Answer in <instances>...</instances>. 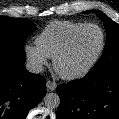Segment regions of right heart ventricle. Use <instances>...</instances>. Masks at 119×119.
<instances>
[{
    "instance_id": "right-heart-ventricle-1",
    "label": "right heart ventricle",
    "mask_w": 119,
    "mask_h": 119,
    "mask_svg": "<svg viewBox=\"0 0 119 119\" xmlns=\"http://www.w3.org/2000/svg\"><path fill=\"white\" fill-rule=\"evenodd\" d=\"M83 25L85 23L68 20L52 21L38 35L36 44L47 57L53 58L72 33Z\"/></svg>"
}]
</instances>
